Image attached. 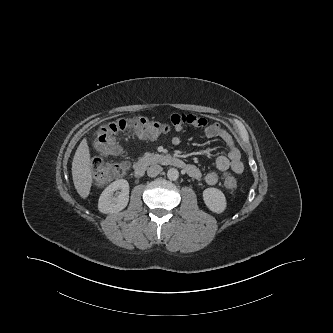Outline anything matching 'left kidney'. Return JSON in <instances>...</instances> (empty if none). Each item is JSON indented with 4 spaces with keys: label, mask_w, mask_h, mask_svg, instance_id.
<instances>
[{
    "label": "left kidney",
    "mask_w": 333,
    "mask_h": 333,
    "mask_svg": "<svg viewBox=\"0 0 333 333\" xmlns=\"http://www.w3.org/2000/svg\"><path fill=\"white\" fill-rule=\"evenodd\" d=\"M203 200L206 206L215 213H222L226 209L224 193L217 188H207L203 191Z\"/></svg>",
    "instance_id": "5707ae66"
}]
</instances>
